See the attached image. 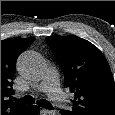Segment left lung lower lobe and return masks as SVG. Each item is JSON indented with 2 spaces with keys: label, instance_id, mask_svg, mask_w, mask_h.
<instances>
[{
  "label": "left lung lower lobe",
  "instance_id": "obj_1",
  "mask_svg": "<svg viewBox=\"0 0 115 115\" xmlns=\"http://www.w3.org/2000/svg\"><path fill=\"white\" fill-rule=\"evenodd\" d=\"M60 113H61L62 115H71V114H69V113H68L67 111H65V110H61Z\"/></svg>",
  "mask_w": 115,
  "mask_h": 115
}]
</instances>
